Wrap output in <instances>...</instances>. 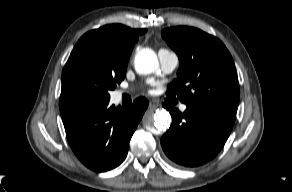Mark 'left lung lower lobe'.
<instances>
[{"mask_svg": "<svg viewBox=\"0 0 292 192\" xmlns=\"http://www.w3.org/2000/svg\"><path fill=\"white\" fill-rule=\"evenodd\" d=\"M172 116L161 138L165 154L178 165L196 167L213 159L233 128L236 112L210 107H189L184 113L163 104Z\"/></svg>", "mask_w": 292, "mask_h": 192, "instance_id": "1", "label": "left lung lower lobe"}]
</instances>
